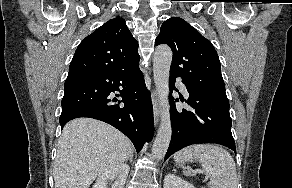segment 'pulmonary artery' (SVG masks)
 <instances>
[{
  "label": "pulmonary artery",
  "mask_w": 292,
  "mask_h": 188,
  "mask_svg": "<svg viewBox=\"0 0 292 188\" xmlns=\"http://www.w3.org/2000/svg\"><path fill=\"white\" fill-rule=\"evenodd\" d=\"M179 87L184 93H187L186 86L182 82H179Z\"/></svg>",
  "instance_id": "e3ab8cb5"
}]
</instances>
